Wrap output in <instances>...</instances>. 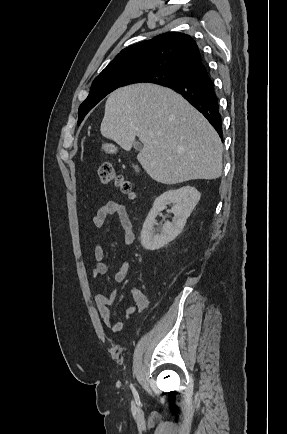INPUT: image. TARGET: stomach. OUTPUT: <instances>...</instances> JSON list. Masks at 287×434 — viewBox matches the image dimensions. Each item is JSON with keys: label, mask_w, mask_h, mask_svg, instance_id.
Returning <instances> with one entry per match:
<instances>
[{"label": "stomach", "mask_w": 287, "mask_h": 434, "mask_svg": "<svg viewBox=\"0 0 287 434\" xmlns=\"http://www.w3.org/2000/svg\"><path fill=\"white\" fill-rule=\"evenodd\" d=\"M104 149L109 153H115L117 151L116 147L111 144H105Z\"/></svg>", "instance_id": "stomach-1"}]
</instances>
